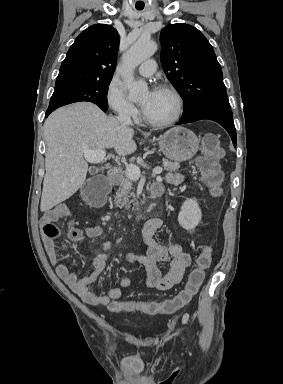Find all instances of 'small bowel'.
<instances>
[{
	"mask_svg": "<svg viewBox=\"0 0 283 384\" xmlns=\"http://www.w3.org/2000/svg\"><path fill=\"white\" fill-rule=\"evenodd\" d=\"M183 181V176L178 173L166 175V182L172 185H179ZM69 214L65 204H57L48 210L41 219L42 235L45 250L50 262L55 267L58 276L87 304L90 305H108L122 296L131 281L129 278H121L116 287L108 290L105 294H96L89 290V285L94 282L108 260L107 254H101L94 259L91 271L82 278H78L66 264L59 262L58 251L55 246L54 237L48 235L47 227L53 225L59 219L67 217ZM163 222L160 218H151L143 226L142 235L147 245L146 255H135L129 253L126 255V261L129 263L138 262L142 264L147 272L145 285L148 288L157 290H167L182 280L185 270L191 264L190 255L184 251L179 244L169 241L159 242L155 239V234L162 228ZM84 233L89 239L97 238L102 233L99 225L87 226ZM157 262L169 264V271L162 275Z\"/></svg>",
	"mask_w": 283,
	"mask_h": 384,
	"instance_id": "obj_1",
	"label": "small bowel"
}]
</instances>
